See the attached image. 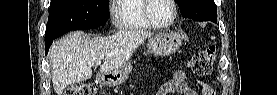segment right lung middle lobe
Instances as JSON below:
<instances>
[{"mask_svg":"<svg viewBox=\"0 0 277 95\" xmlns=\"http://www.w3.org/2000/svg\"><path fill=\"white\" fill-rule=\"evenodd\" d=\"M108 0H51L45 40L72 31L96 28L109 18Z\"/></svg>","mask_w":277,"mask_h":95,"instance_id":"obj_1","label":"right lung middle lobe"}]
</instances>
